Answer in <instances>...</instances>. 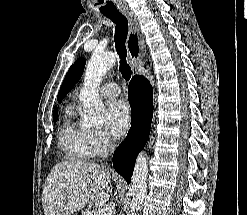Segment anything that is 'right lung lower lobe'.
<instances>
[{"instance_id":"98d812e1","label":"right lung lower lobe","mask_w":247,"mask_h":215,"mask_svg":"<svg viewBox=\"0 0 247 215\" xmlns=\"http://www.w3.org/2000/svg\"><path fill=\"white\" fill-rule=\"evenodd\" d=\"M131 128L113 155L114 169L130 183L136 157L149 137L153 116V89L144 76H134L128 87Z\"/></svg>"}]
</instances>
